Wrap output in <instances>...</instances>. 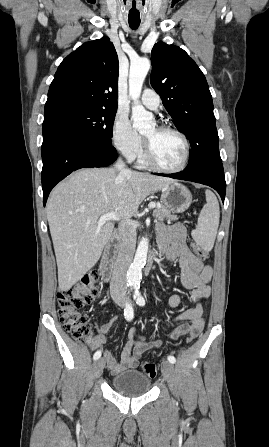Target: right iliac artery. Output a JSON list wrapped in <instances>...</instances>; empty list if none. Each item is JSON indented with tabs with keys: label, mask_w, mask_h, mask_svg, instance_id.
Masks as SVG:
<instances>
[{
	"label": "right iliac artery",
	"mask_w": 269,
	"mask_h": 447,
	"mask_svg": "<svg viewBox=\"0 0 269 447\" xmlns=\"http://www.w3.org/2000/svg\"><path fill=\"white\" fill-rule=\"evenodd\" d=\"M130 285H131V284H130ZM130 285H128V286H130ZM124 316H125V319L128 320V321H130V320L133 319L134 312H133V308H132L131 304H129V303H126V307H125V309H124ZM100 357H101V352H100V351H97V352L94 354L93 359H94V360H97V359H99Z\"/></svg>",
	"instance_id": "1"
}]
</instances>
